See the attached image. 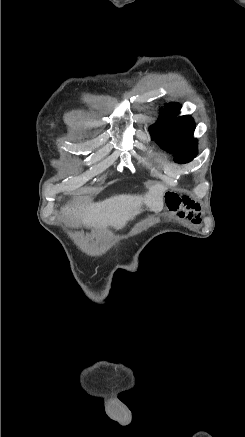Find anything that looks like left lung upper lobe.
<instances>
[{"instance_id": "1", "label": "left lung upper lobe", "mask_w": 245, "mask_h": 437, "mask_svg": "<svg viewBox=\"0 0 245 437\" xmlns=\"http://www.w3.org/2000/svg\"><path fill=\"white\" fill-rule=\"evenodd\" d=\"M181 105L171 103L162 111V117L150 126L149 131L152 140L160 147L173 153L178 163H188L197 155V140L193 138L195 123L190 116H181L174 119Z\"/></svg>"}]
</instances>
